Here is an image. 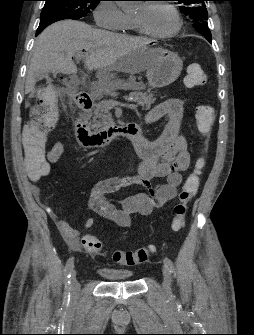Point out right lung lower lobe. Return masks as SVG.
Wrapping results in <instances>:
<instances>
[{
  "mask_svg": "<svg viewBox=\"0 0 254 335\" xmlns=\"http://www.w3.org/2000/svg\"><path fill=\"white\" fill-rule=\"evenodd\" d=\"M63 19H67V18H63V17H49V18H44V19H41L40 21V24H39V27L37 29V32H36V36L44 29L46 28L48 25L56 22V21H59V20H63Z\"/></svg>",
  "mask_w": 254,
  "mask_h": 335,
  "instance_id": "98d812e1",
  "label": "right lung lower lobe"
}]
</instances>
